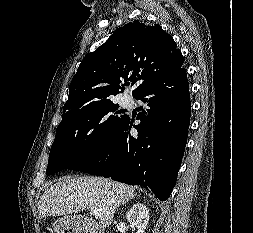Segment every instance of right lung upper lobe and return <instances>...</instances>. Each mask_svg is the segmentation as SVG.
Returning <instances> with one entry per match:
<instances>
[{"instance_id": "right-lung-upper-lobe-1", "label": "right lung upper lobe", "mask_w": 253, "mask_h": 233, "mask_svg": "<svg viewBox=\"0 0 253 233\" xmlns=\"http://www.w3.org/2000/svg\"><path fill=\"white\" fill-rule=\"evenodd\" d=\"M184 58L170 34L159 25L134 20L119 27L81 62L69 86L63 118L123 92L137 83L135 97L161 76L182 67ZM122 81L126 82L121 84Z\"/></svg>"}]
</instances>
